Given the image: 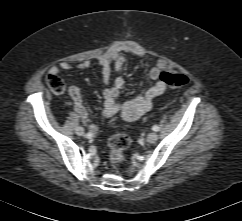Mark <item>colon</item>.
<instances>
[{
    "mask_svg": "<svg viewBox=\"0 0 242 221\" xmlns=\"http://www.w3.org/2000/svg\"><path fill=\"white\" fill-rule=\"evenodd\" d=\"M159 79L169 87H184L189 83V77L183 73L162 72ZM46 82L50 90L55 94H62L65 90V84L58 74L50 73ZM132 139L125 133H117L110 137L109 161L114 167L122 166L126 161L125 151L131 146Z\"/></svg>",
    "mask_w": 242,
    "mask_h": 221,
    "instance_id": "5ec220e1",
    "label": "colon"
}]
</instances>
